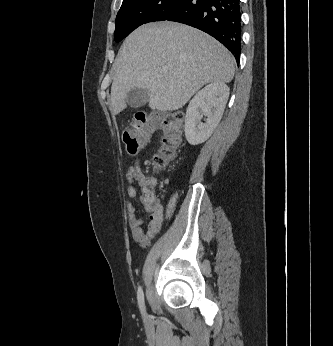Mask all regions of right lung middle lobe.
<instances>
[{
  "label": "right lung middle lobe",
  "mask_w": 333,
  "mask_h": 346,
  "mask_svg": "<svg viewBox=\"0 0 333 346\" xmlns=\"http://www.w3.org/2000/svg\"><path fill=\"white\" fill-rule=\"evenodd\" d=\"M183 0H123L116 17L114 38L120 42L142 24L169 17Z\"/></svg>",
  "instance_id": "obj_1"
}]
</instances>
